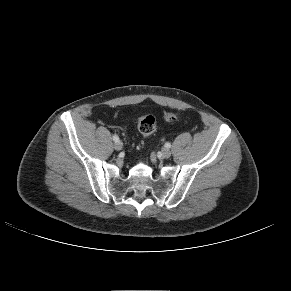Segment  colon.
<instances>
[{
	"label": "colon",
	"mask_w": 291,
	"mask_h": 291,
	"mask_svg": "<svg viewBox=\"0 0 291 291\" xmlns=\"http://www.w3.org/2000/svg\"><path fill=\"white\" fill-rule=\"evenodd\" d=\"M177 119V114L174 112H167L164 115L166 122H173ZM138 129L144 137L150 136L156 129V121L153 116H143L139 120Z\"/></svg>",
	"instance_id": "5ec220e1"
}]
</instances>
